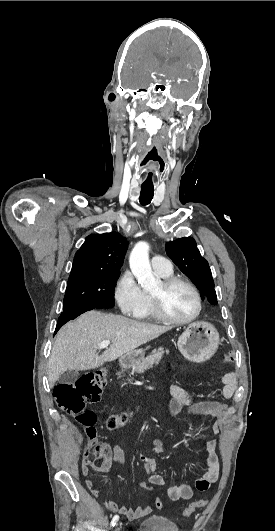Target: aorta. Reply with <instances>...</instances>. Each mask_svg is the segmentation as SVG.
Returning <instances> with one entry per match:
<instances>
[{"mask_svg":"<svg viewBox=\"0 0 275 531\" xmlns=\"http://www.w3.org/2000/svg\"><path fill=\"white\" fill-rule=\"evenodd\" d=\"M149 249L148 243L139 241L132 249L129 257L130 269L144 291H154V289L161 287L160 279H156L152 273Z\"/></svg>","mask_w":275,"mask_h":531,"instance_id":"762f6f07","label":"aorta"}]
</instances>
